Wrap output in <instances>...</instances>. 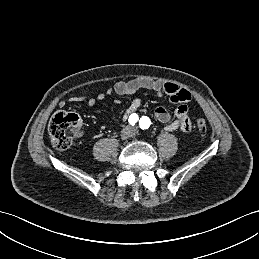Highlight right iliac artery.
<instances>
[{"label": "right iliac artery", "instance_id": "right-iliac-artery-1", "mask_svg": "<svg viewBox=\"0 0 259 259\" xmlns=\"http://www.w3.org/2000/svg\"><path fill=\"white\" fill-rule=\"evenodd\" d=\"M138 120H139V118H138V115H137L136 113L131 114V115L129 116V119H128L129 123H130L132 126H134V125L137 123Z\"/></svg>", "mask_w": 259, "mask_h": 259}]
</instances>
